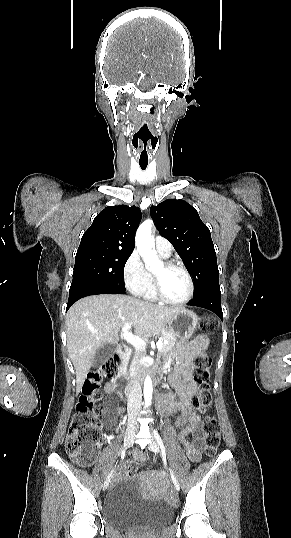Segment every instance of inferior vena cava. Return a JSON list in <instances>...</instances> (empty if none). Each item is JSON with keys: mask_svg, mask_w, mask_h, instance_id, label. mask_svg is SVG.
Wrapping results in <instances>:
<instances>
[{"mask_svg": "<svg viewBox=\"0 0 291 538\" xmlns=\"http://www.w3.org/2000/svg\"><path fill=\"white\" fill-rule=\"evenodd\" d=\"M141 403L142 391L139 380L136 378L132 381V387L127 400V411L130 422H135V418L141 409Z\"/></svg>", "mask_w": 291, "mask_h": 538, "instance_id": "inferior-vena-cava-1", "label": "inferior vena cava"}]
</instances>
